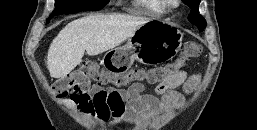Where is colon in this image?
Segmentation results:
<instances>
[{
  "instance_id": "1",
  "label": "colon",
  "mask_w": 257,
  "mask_h": 130,
  "mask_svg": "<svg viewBox=\"0 0 257 130\" xmlns=\"http://www.w3.org/2000/svg\"><path fill=\"white\" fill-rule=\"evenodd\" d=\"M202 47L195 41L187 42L180 56L172 63L151 69L131 68L127 72L104 70L95 62L83 63L68 75L58 79L53 85V92L59 98L69 96L77 101L88 99L91 82L111 84L124 87L130 82L160 83L168 76L174 75L192 59L200 56Z\"/></svg>"
}]
</instances>
